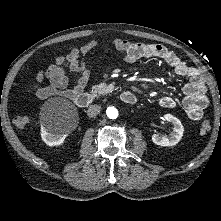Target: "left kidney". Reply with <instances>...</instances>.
I'll list each match as a JSON object with an SVG mask.
<instances>
[{
	"label": "left kidney",
	"instance_id": "5707ae66",
	"mask_svg": "<svg viewBox=\"0 0 221 221\" xmlns=\"http://www.w3.org/2000/svg\"><path fill=\"white\" fill-rule=\"evenodd\" d=\"M163 119L167 122L172 123L173 131L170 133L169 136H160L158 134H154L152 136V141L156 145H160V146H164V147L165 146H174L181 140V138L183 136V132H184L183 125L178 118H176L175 116H173L171 114H165L163 116Z\"/></svg>",
	"mask_w": 221,
	"mask_h": 221
}]
</instances>
